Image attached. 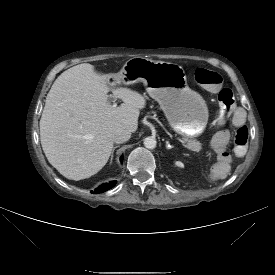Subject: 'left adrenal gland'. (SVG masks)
<instances>
[{
    "label": "left adrenal gland",
    "mask_w": 275,
    "mask_h": 275,
    "mask_svg": "<svg viewBox=\"0 0 275 275\" xmlns=\"http://www.w3.org/2000/svg\"><path fill=\"white\" fill-rule=\"evenodd\" d=\"M173 146L170 145L169 142H166V148L169 149V148H172Z\"/></svg>",
    "instance_id": "left-adrenal-gland-1"
}]
</instances>
